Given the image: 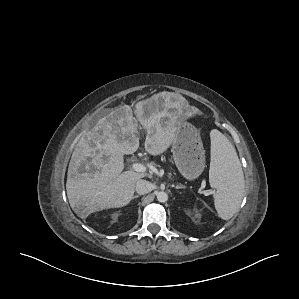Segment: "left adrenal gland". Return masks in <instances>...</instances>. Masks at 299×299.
Listing matches in <instances>:
<instances>
[{"label":"left adrenal gland","instance_id":"left-adrenal-gland-1","mask_svg":"<svg viewBox=\"0 0 299 299\" xmlns=\"http://www.w3.org/2000/svg\"><path fill=\"white\" fill-rule=\"evenodd\" d=\"M186 187L184 185H177L175 186V189H185Z\"/></svg>","mask_w":299,"mask_h":299}]
</instances>
